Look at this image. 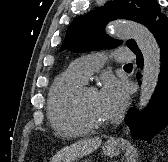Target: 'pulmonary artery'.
<instances>
[{
	"instance_id": "1",
	"label": "pulmonary artery",
	"mask_w": 168,
	"mask_h": 162,
	"mask_svg": "<svg viewBox=\"0 0 168 162\" xmlns=\"http://www.w3.org/2000/svg\"><path fill=\"white\" fill-rule=\"evenodd\" d=\"M114 57L117 62H130L133 60L132 54L126 48H118ZM106 58L107 55L102 52L88 54L73 61L69 68L72 73L85 83L94 71L103 66Z\"/></svg>"
}]
</instances>
